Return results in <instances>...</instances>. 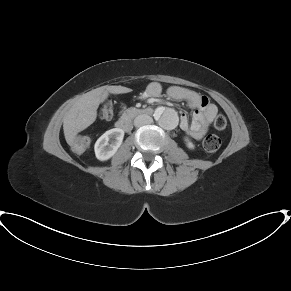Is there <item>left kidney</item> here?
Instances as JSON below:
<instances>
[{
    "label": "left kidney",
    "mask_w": 291,
    "mask_h": 291,
    "mask_svg": "<svg viewBox=\"0 0 291 291\" xmlns=\"http://www.w3.org/2000/svg\"><path fill=\"white\" fill-rule=\"evenodd\" d=\"M185 142L189 149H194V144L188 138H185Z\"/></svg>",
    "instance_id": "5707ae66"
}]
</instances>
